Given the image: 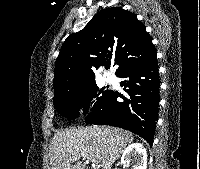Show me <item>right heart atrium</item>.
Instances as JSON below:
<instances>
[{
    "mask_svg": "<svg viewBox=\"0 0 200 169\" xmlns=\"http://www.w3.org/2000/svg\"><path fill=\"white\" fill-rule=\"evenodd\" d=\"M89 107V103L87 101H82L77 107V113L83 114Z\"/></svg>",
    "mask_w": 200,
    "mask_h": 169,
    "instance_id": "1",
    "label": "right heart atrium"
}]
</instances>
